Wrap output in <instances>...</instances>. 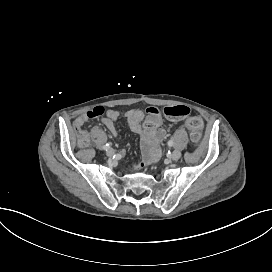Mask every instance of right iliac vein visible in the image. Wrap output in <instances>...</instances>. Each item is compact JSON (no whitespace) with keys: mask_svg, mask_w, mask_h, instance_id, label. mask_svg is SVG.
<instances>
[{"mask_svg":"<svg viewBox=\"0 0 272 272\" xmlns=\"http://www.w3.org/2000/svg\"><path fill=\"white\" fill-rule=\"evenodd\" d=\"M114 154H115V151H114L113 149H109V150L106 151V155H107V156H110V157H111V156H113Z\"/></svg>","mask_w":272,"mask_h":272,"instance_id":"63e3f726","label":"right iliac vein"}]
</instances>
